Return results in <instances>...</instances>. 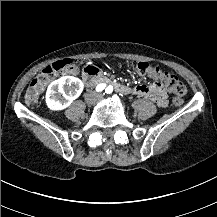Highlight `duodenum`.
<instances>
[{"label": "duodenum", "mask_w": 217, "mask_h": 217, "mask_svg": "<svg viewBox=\"0 0 217 217\" xmlns=\"http://www.w3.org/2000/svg\"><path fill=\"white\" fill-rule=\"evenodd\" d=\"M83 82L88 87H94L98 84L100 85L104 84L114 88V90L117 93L125 94V95L131 94L134 91L132 88L128 86H125L120 83H114L111 80L103 77L100 73V70L97 67L92 65L85 67L83 71Z\"/></svg>", "instance_id": "obj_1"}]
</instances>
